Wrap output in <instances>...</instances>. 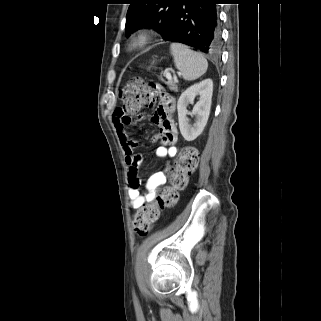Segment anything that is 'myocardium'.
I'll return each mask as SVG.
<instances>
[{
  "label": "myocardium",
  "mask_w": 321,
  "mask_h": 321,
  "mask_svg": "<svg viewBox=\"0 0 321 321\" xmlns=\"http://www.w3.org/2000/svg\"><path fill=\"white\" fill-rule=\"evenodd\" d=\"M151 40V35L148 31L142 30L131 36L129 40V48L137 51L145 47Z\"/></svg>",
  "instance_id": "f54148a6"
}]
</instances>
